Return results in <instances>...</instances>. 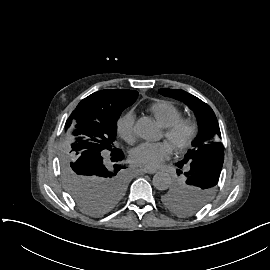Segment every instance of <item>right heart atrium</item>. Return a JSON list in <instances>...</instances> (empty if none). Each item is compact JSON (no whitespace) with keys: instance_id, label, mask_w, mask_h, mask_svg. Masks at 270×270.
<instances>
[{"instance_id":"d8ad5b80","label":"right heart atrium","mask_w":270,"mask_h":270,"mask_svg":"<svg viewBox=\"0 0 270 270\" xmlns=\"http://www.w3.org/2000/svg\"><path fill=\"white\" fill-rule=\"evenodd\" d=\"M117 133L129 144L136 141V119L132 111L121 116L116 123Z\"/></svg>"}]
</instances>
